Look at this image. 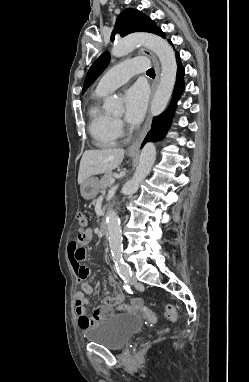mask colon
<instances>
[{"label":"colon","instance_id":"1","mask_svg":"<svg viewBox=\"0 0 249 382\" xmlns=\"http://www.w3.org/2000/svg\"><path fill=\"white\" fill-rule=\"evenodd\" d=\"M78 223L80 226V231L78 235L79 241H83L84 239V234L86 232V227L88 225V218L84 213H79L78 214ZM75 272L79 278L85 279L89 275V269L87 266L84 264V262H81L80 266H76ZM89 281H95L96 277L95 276H89L88 277ZM122 296L120 294H115L114 297H106L104 299V304L108 306H113L117 305L121 302ZM122 307H130L134 310H136L138 313H140L148 322L154 323L156 321V316L155 314L148 309L147 307L143 305H123ZM165 318L170 321L174 322L177 319V314L175 307L173 305H167L166 311H165Z\"/></svg>","mask_w":249,"mask_h":382}]
</instances>
